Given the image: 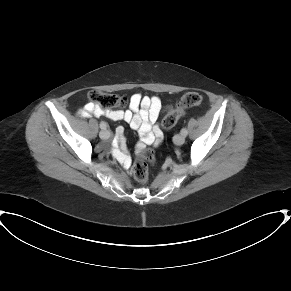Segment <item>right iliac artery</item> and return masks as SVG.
Listing matches in <instances>:
<instances>
[{
  "label": "right iliac artery",
  "mask_w": 291,
  "mask_h": 291,
  "mask_svg": "<svg viewBox=\"0 0 291 291\" xmlns=\"http://www.w3.org/2000/svg\"><path fill=\"white\" fill-rule=\"evenodd\" d=\"M106 127H107V126H106V123H105V122H101V123H100V128H101V129H106Z\"/></svg>",
  "instance_id": "right-iliac-artery-1"
}]
</instances>
